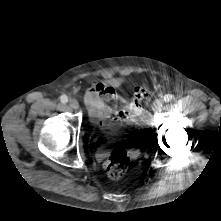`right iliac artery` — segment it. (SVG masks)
Returning <instances> with one entry per match:
<instances>
[{
  "label": "right iliac artery",
  "mask_w": 221,
  "mask_h": 221,
  "mask_svg": "<svg viewBox=\"0 0 221 221\" xmlns=\"http://www.w3.org/2000/svg\"><path fill=\"white\" fill-rule=\"evenodd\" d=\"M60 101L62 103H67L68 102V97L66 95H62V96H60Z\"/></svg>",
  "instance_id": "right-iliac-artery-1"
}]
</instances>
